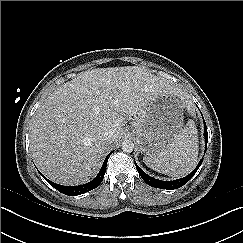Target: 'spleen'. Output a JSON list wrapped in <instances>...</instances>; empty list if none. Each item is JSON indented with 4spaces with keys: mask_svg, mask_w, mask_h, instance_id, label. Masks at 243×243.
<instances>
[{
    "mask_svg": "<svg viewBox=\"0 0 243 243\" xmlns=\"http://www.w3.org/2000/svg\"><path fill=\"white\" fill-rule=\"evenodd\" d=\"M198 131L193 120L175 137L174 141L157 154L145 156L144 163L157 172L180 177L190 173L198 161Z\"/></svg>",
    "mask_w": 243,
    "mask_h": 243,
    "instance_id": "obj_1",
    "label": "spleen"
}]
</instances>
